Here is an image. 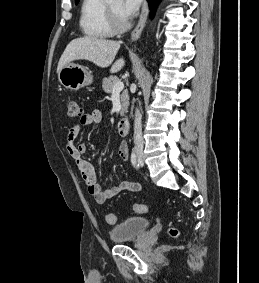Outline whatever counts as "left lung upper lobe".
Wrapping results in <instances>:
<instances>
[{
	"label": "left lung upper lobe",
	"instance_id": "1",
	"mask_svg": "<svg viewBox=\"0 0 259 283\" xmlns=\"http://www.w3.org/2000/svg\"><path fill=\"white\" fill-rule=\"evenodd\" d=\"M79 0H75V2L77 3Z\"/></svg>",
	"mask_w": 259,
	"mask_h": 283
}]
</instances>
